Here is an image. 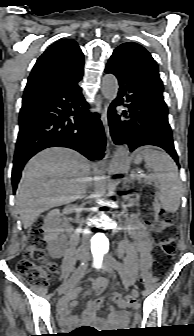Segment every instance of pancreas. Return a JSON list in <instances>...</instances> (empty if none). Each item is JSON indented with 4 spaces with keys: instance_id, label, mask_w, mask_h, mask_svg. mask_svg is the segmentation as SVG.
<instances>
[{
    "instance_id": "pancreas-1",
    "label": "pancreas",
    "mask_w": 194,
    "mask_h": 336,
    "mask_svg": "<svg viewBox=\"0 0 194 336\" xmlns=\"http://www.w3.org/2000/svg\"><path fill=\"white\" fill-rule=\"evenodd\" d=\"M154 180H155L154 176L151 175L149 177H145V179L143 180V182H145L147 184H151ZM139 181L142 182V179L139 178Z\"/></svg>"
}]
</instances>
